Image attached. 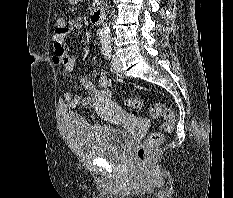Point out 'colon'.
<instances>
[{"label":"colon","mask_w":233,"mask_h":198,"mask_svg":"<svg viewBox=\"0 0 233 198\" xmlns=\"http://www.w3.org/2000/svg\"><path fill=\"white\" fill-rule=\"evenodd\" d=\"M65 20L57 17L55 20V31H61L64 27ZM127 106L136 112L141 108V101L138 98L127 100ZM150 115L154 118L162 117L163 123L159 131L151 133L137 150V157L141 162H145L149 152L156 148L163 140L165 134L170 133L175 124V115L171 108L163 103H154L150 107Z\"/></svg>","instance_id":"1"}]
</instances>
